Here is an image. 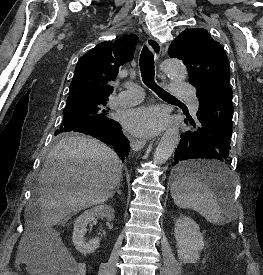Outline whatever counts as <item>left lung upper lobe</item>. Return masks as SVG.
Here are the masks:
<instances>
[{"label": "left lung upper lobe", "mask_w": 263, "mask_h": 275, "mask_svg": "<svg viewBox=\"0 0 263 275\" xmlns=\"http://www.w3.org/2000/svg\"><path fill=\"white\" fill-rule=\"evenodd\" d=\"M169 56L184 62L189 82L199 92L230 85V65L225 50L205 29L184 30L171 43Z\"/></svg>", "instance_id": "obj_1"}]
</instances>
